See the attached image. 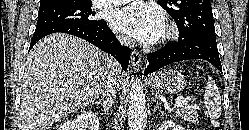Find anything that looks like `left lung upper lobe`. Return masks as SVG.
I'll list each match as a JSON object with an SVG mask.
<instances>
[{"label":"left lung upper lobe","mask_w":249,"mask_h":130,"mask_svg":"<svg viewBox=\"0 0 249 130\" xmlns=\"http://www.w3.org/2000/svg\"><path fill=\"white\" fill-rule=\"evenodd\" d=\"M174 19L179 38L203 35L216 39L210 0H158Z\"/></svg>","instance_id":"left-lung-upper-lobe-1"}]
</instances>
